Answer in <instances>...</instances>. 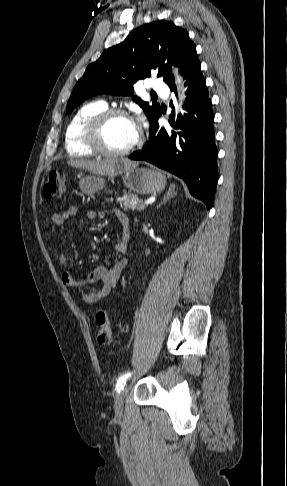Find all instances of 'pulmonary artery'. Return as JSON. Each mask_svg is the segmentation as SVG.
I'll return each instance as SVG.
<instances>
[{
  "instance_id": "pulmonary-artery-1",
  "label": "pulmonary artery",
  "mask_w": 287,
  "mask_h": 486,
  "mask_svg": "<svg viewBox=\"0 0 287 486\" xmlns=\"http://www.w3.org/2000/svg\"><path fill=\"white\" fill-rule=\"evenodd\" d=\"M149 87L161 94H167L168 93V87L167 85L160 79H152L149 83Z\"/></svg>"
}]
</instances>
